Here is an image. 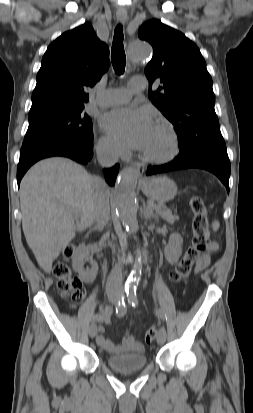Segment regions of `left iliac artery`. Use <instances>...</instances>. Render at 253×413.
Instances as JSON below:
<instances>
[{"label": "left iliac artery", "instance_id": "1", "mask_svg": "<svg viewBox=\"0 0 253 413\" xmlns=\"http://www.w3.org/2000/svg\"><path fill=\"white\" fill-rule=\"evenodd\" d=\"M127 298H128V302L133 307H136V305L138 304L136 288H133V289H130L129 291H127ZM156 314L163 318V315L160 311H157Z\"/></svg>", "mask_w": 253, "mask_h": 413}]
</instances>
